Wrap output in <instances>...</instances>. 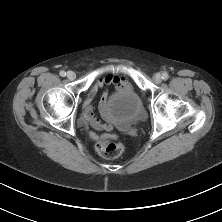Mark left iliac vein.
Returning <instances> with one entry per match:
<instances>
[{
	"mask_svg": "<svg viewBox=\"0 0 222 222\" xmlns=\"http://www.w3.org/2000/svg\"><path fill=\"white\" fill-rule=\"evenodd\" d=\"M154 80L157 82V83H160L162 81V76L160 73H156L154 75Z\"/></svg>",
	"mask_w": 222,
	"mask_h": 222,
	"instance_id": "4c4485c4",
	"label": "left iliac vein"
}]
</instances>
